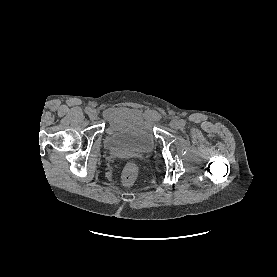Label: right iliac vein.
I'll use <instances>...</instances> for the list:
<instances>
[{
    "label": "right iliac vein",
    "mask_w": 277,
    "mask_h": 277,
    "mask_svg": "<svg viewBox=\"0 0 277 277\" xmlns=\"http://www.w3.org/2000/svg\"><path fill=\"white\" fill-rule=\"evenodd\" d=\"M97 115H98L97 112L95 110H92L89 114V118L91 120H95L97 118Z\"/></svg>",
    "instance_id": "right-iliac-vein-1"
}]
</instances>
